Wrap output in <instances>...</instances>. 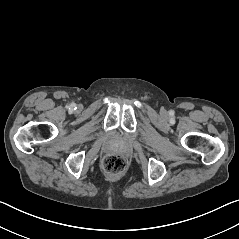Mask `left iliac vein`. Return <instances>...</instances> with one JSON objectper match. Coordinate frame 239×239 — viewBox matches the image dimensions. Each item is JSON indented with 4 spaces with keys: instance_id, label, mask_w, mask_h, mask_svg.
Instances as JSON below:
<instances>
[{
    "instance_id": "4c4485c4",
    "label": "left iliac vein",
    "mask_w": 239,
    "mask_h": 239,
    "mask_svg": "<svg viewBox=\"0 0 239 239\" xmlns=\"http://www.w3.org/2000/svg\"><path fill=\"white\" fill-rule=\"evenodd\" d=\"M161 114H162V115H165V114H166V112H165V111H162V112H161Z\"/></svg>"
}]
</instances>
